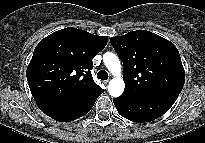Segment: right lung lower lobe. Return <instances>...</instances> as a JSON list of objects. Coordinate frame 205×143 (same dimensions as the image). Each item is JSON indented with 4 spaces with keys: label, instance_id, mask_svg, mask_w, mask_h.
Segmentation results:
<instances>
[{
    "label": "right lung lower lobe",
    "instance_id": "obj_1",
    "mask_svg": "<svg viewBox=\"0 0 205 143\" xmlns=\"http://www.w3.org/2000/svg\"><path fill=\"white\" fill-rule=\"evenodd\" d=\"M103 91V89L95 91L80 102L68 106L38 104V107L46 115L57 121L70 122L87 114Z\"/></svg>",
    "mask_w": 205,
    "mask_h": 143
}]
</instances>
